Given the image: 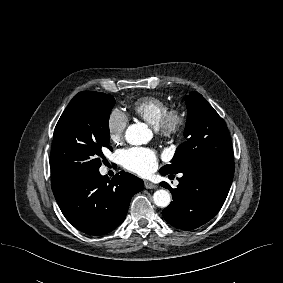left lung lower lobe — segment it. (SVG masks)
<instances>
[{"mask_svg":"<svg viewBox=\"0 0 283 283\" xmlns=\"http://www.w3.org/2000/svg\"><path fill=\"white\" fill-rule=\"evenodd\" d=\"M180 173L177 188L160 183L173 197V202L163 210V217L176 228L192 230L210 221L221 209L232 184L234 163L218 168L196 167Z\"/></svg>","mask_w":283,"mask_h":283,"instance_id":"0a47b994","label":"left lung lower lobe"}]
</instances>
